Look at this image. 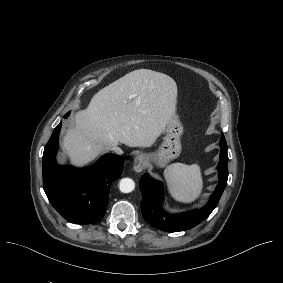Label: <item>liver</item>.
Segmentation results:
<instances>
[{
  "label": "liver",
  "mask_w": 283,
  "mask_h": 283,
  "mask_svg": "<svg viewBox=\"0 0 283 283\" xmlns=\"http://www.w3.org/2000/svg\"><path fill=\"white\" fill-rule=\"evenodd\" d=\"M176 99V82L160 72L138 69L114 81L75 114L63 138L71 162L85 165L119 143L150 147L176 117Z\"/></svg>",
  "instance_id": "1"
}]
</instances>
